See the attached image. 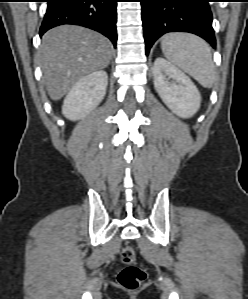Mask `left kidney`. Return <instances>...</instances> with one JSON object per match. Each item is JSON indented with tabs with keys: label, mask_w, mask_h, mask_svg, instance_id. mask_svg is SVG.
Here are the masks:
<instances>
[{
	"label": "left kidney",
	"mask_w": 248,
	"mask_h": 299,
	"mask_svg": "<svg viewBox=\"0 0 248 299\" xmlns=\"http://www.w3.org/2000/svg\"><path fill=\"white\" fill-rule=\"evenodd\" d=\"M153 75L157 93L174 114L190 118L198 111L200 93L185 73L159 57L154 62Z\"/></svg>",
	"instance_id": "1"
}]
</instances>
